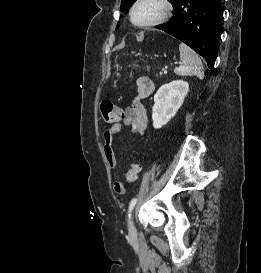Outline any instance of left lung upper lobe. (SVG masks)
<instances>
[{"label":"left lung upper lobe","instance_id":"5c2ea615","mask_svg":"<svg viewBox=\"0 0 261 273\" xmlns=\"http://www.w3.org/2000/svg\"><path fill=\"white\" fill-rule=\"evenodd\" d=\"M136 0H122L121 3V11L127 13L129 6H131ZM172 4H174L177 0H169ZM118 28V27H117Z\"/></svg>","mask_w":261,"mask_h":273}]
</instances>
